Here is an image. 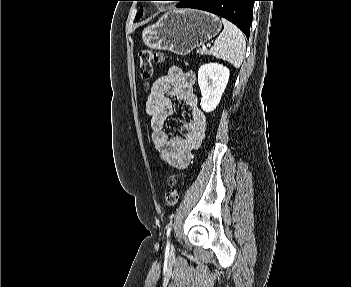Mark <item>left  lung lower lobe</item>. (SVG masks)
Returning <instances> with one entry per match:
<instances>
[{
	"instance_id": "1",
	"label": "left lung lower lobe",
	"mask_w": 351,
	"mask_h": 287,
	"mask_svg": "<svg viewBox=\"0 0 351 287\" xmlns=\"http://www.w3.org/2000/svg\"><path fill=\"white\" fill-rule=\"evenodd\" d=\"M256 0H181L176 7L204 10L237 25L249 38Z\"/></svg>"
}]
</instances>
